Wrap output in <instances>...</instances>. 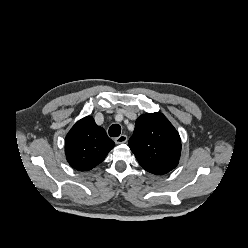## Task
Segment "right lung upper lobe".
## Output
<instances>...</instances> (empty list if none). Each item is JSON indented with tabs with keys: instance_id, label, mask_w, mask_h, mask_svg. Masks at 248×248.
<instances>
[{
	"instance_id": "obj_1",
	"label": "right lung upper lobe",
	"mask_w": 248,
	"mask_h": 248,
	"mask_svg": "<svg viewBox=\"0 0 248 248\" xmlns=\"http://www.w3.org/2000/svg\"><path fill=\"white\" fill-rule=\"evenodd\" d=\"M114 142L91 116L79 120L69 131L65 141V154L71 167L88 171L101 163Z\"/></svg>"
}]
</instances>
